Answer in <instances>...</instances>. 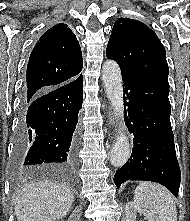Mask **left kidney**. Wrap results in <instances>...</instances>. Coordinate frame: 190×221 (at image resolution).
<instances>
[{"mask_svg": "<svg viewBox=\"0 0 190 221\" xmlns=\"http://www.w3.org/2000/svg\"><path fill=\"white\" fill-rule=\"evenodd\" d=\"M126 221H136L137 213L143 215L148 221H159L158 218L148 210L137 206L134 202H128L125 206Z\"/></svg>", "mask_w": 190, "mask_h": 221, "instance_id": "obj_1", "label": "left kidney"}]
</instances>
